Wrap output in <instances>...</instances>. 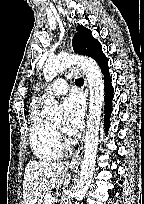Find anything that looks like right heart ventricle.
Wrapping results in <instances>:
<instances>
[{
    "instance_id": "right-heart-ventricle-1",
    "label": "right heart ventricle",
    "mask_w": 144,
    "mask_h": 204,
    "mask_svg": "<svg viewBox=\"0 0 144 204\" xmlns=\"http://www.w3.org/2000/svg\"><path fill=\"white\" fill-rule=\"evenodd\" d=\"M30 147L36 158L42 161H55L63 154L56 131L40 115L36 106L30 113Z\"/></svg>"
}]
</instances>
